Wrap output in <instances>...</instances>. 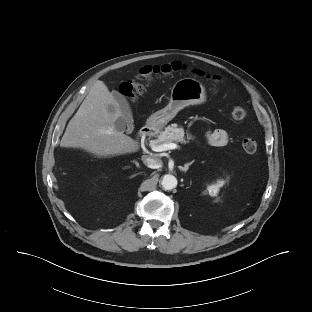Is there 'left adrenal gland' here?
Wrapping results in <instances>:
<instances>
[{
	"label": "left adrenal gland",
	"instance_id": "a2214340",
	"mask_svg": "<svg viewBox=\"0 0 312 312\" xmlns=\"http://www.w3.org/2000/svg\"><path fill=\"white\" fill-rule=\"evenodd\" d=\"M193 162H194V161H191V162L185 164L184 167H180V169H181L182 171H184V172H187V170L189 169V166H190L191 164H193Z\"/></svg>",
	"mask_w": 312,
	"mask_h": 312
}]
</instances>
